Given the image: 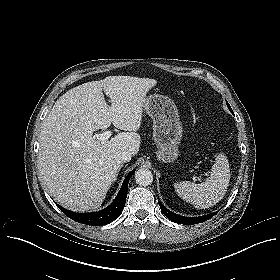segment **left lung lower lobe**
Returning a JSON list of instances; mask_svg holds the SVG:
<instances>
[{"mask_svg":"<svg viewBox=\"0 0 280 280\" xmlns=\"http://www.w3.org/2000/svg\"><path fill=\"white\" fill-rule=\"evenodd\" d=\"M158 203L161 208V212L168 219H170L171 221L178 223V224L193 225V224H197V223H202L204 221L209 220L216 214V212H214L212 214L200 216V217H185V216H180L178 214L171 212L170 210L165 208L159 201H158Z\"/></svg>","mask_w":280,"mask_h":280,"instance_id":"1","label":"left lung lower lobe"}]
</instances>
